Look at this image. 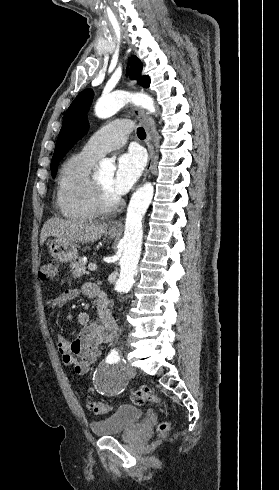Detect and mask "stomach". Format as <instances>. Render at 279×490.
Here are the masks:
<instances>
[{
  "label": "stomach",
  "mask_w": 279,
  "mask_h": 490,
  "mask_svg": "<svg viewBox=\"0 0 279 490\" xmlns=\"http://www.w3.org/2000/svg\"><path fill=\"white\" fill-rule=\"evenodd\" d=\"M111 238H115L118 236L117 232H108ZM49 254L58 262H72V260H76L78 258V250L76 244L74 242H61V240H52L48 244Z\"/></svg>",
  "instance_id": "1"
}]
</instances>
